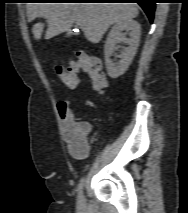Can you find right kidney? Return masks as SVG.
Returning a JSON list of instances; mask_svg holds the SVG:
<instances>
[{
	"label": "right kidney",
	"mask_w": 188,
	"mask_h": 213,
	"mask_svg": "<svg viewBox=\"0 0 188 213\" xmlns=\"http://www.w3.org/2000/svg\"><path fill=\"white\" fill-rule=\"evenodd\" d=\"M140 33V24L133 19L117 22L111 28L104 47L106 69L111 78H118L128 70L139 46ZM127 34L129 38H126ZM119 42L127 44L128 47L121 52V60L114 63L111 56Z\"/></svg>",
	"instance_id": "obj_1"
}]
</instances>
